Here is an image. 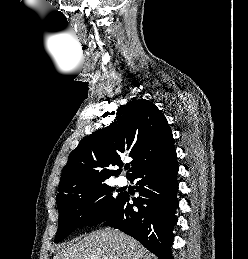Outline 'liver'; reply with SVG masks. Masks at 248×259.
Listing matches in <instances>:
<instances>
[{
	"label": "liver",
	"mask_w": 248,
	"mask_h": 259,
	"mask_svg": "<svg viewBox=\"0 0 248 259\" xmlns=\"http://www.w3.org/2000/svg\"><path fill=\"white\" fill-rule=\"evenodd\" d=\"M152 259V255L134 238L113 229L93 231L69 244L53 259Z\"/></svg>",
	"instance_id": "obj_1"
}]
</instances>
